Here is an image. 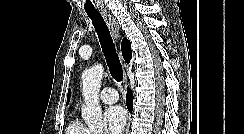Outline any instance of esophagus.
<instances>
[{
    "label": "esophagus",
    "instance_id": "obj_1",
    "mask_svg": "<svg viewBox=\"0 0 244 134\" xmlns=\"http://www.w3.org/2000/svg\"><path fill=\"white\" fill-rule=\"evenodd\" d=\"M103 17L107 23V25L109 26L117 44H118V47L120 48V27L118 25V22L116 21V19L111 16L110 14L108 13H103ZM120 54V57L122 59V56H121V53ZM123 61V59H122ZM124 81H125V87H127L128 85V78H127V75H126V65L124 64ZM131 119V116H129V121ZM129 127H130V122H128L127 124V128H126V131H125V134H128L129 132Z\"/></svg>",
    "mask_w": 244,
    "mask_h": 134
}]
</instances>
